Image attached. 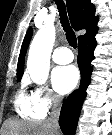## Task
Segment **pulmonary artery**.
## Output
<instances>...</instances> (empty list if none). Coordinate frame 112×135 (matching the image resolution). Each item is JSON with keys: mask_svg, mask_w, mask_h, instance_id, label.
I'll return each mask as SVG.
<instances>
[{"mask_svg": "<svg viewBox=\"0 0 112 135\" xmlns=\"http://www.w3.org/2000/svg\"><path fill=\"white\" fill-rule=\"evenodd\" d=\"M73 59V53L70 49L66 47H59L55 49V51L52 54V60L57 64H67L72 62Z\"/></svg>", "mask_w": 112, "mask_h": 135, "instance_id": "e3ab8cb5", "label": "pulmonary artery"}]
</instances>
